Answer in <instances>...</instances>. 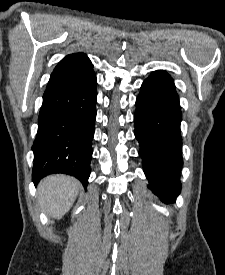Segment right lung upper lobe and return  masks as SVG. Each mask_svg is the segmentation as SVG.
<instances>
[{
  "mask_svg": "<svg viewBox=\"0 0 225 275\" xmlns=\"http://www.w3.org/2000/svg\"><path fill=\"white\" fill-rule=\"evenodd\" d=\"M94 74L92 63L84 53L70 54L53 70L44 94L88 84Z\"/></svg>",
  "mask_w": 225,
  "mask_h": 275,
  "instance_id": "cb5924a9",
  "label": "right lung upper lobe"
}]
</instances>
